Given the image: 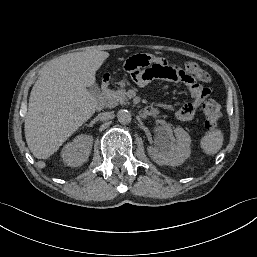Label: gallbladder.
Here are the masks:
<instances>
[{"mask_svg":"<svg viewBox=\"0 0 257 257\" xmlns=\"http://www.w3.org/2000/svg\"><path fill=\"white\" fill-rule=\"evenodd\" d=\"M89 92L93 95V96H98L99 95V93H100V89H99V87H98V85L97 84H94V85H92L91 87H89Z\"/></svg>","mask_w":257,"mask_h":257,"instance_id":"obj_1","label":"gallbladder"}]
</instances>
